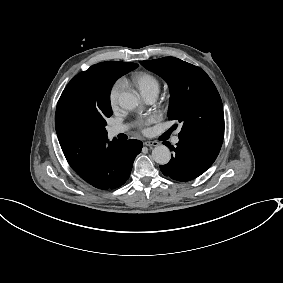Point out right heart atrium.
Listing matches in <instances>:
<instances>
[{
    "label": "right heart atrium",
    "mask_w": 283,
    "mask_h": 283,
    "mask_svg": "<svg viewBox=\"0 0 283 283\" xmlns=\"http://www.w3.org/2000/svg\"><path fill=\"white\" fill-rule=\"evenodd\" d=\"M123 91V84L120 81H114L108 89V103L112 109L119 104V97Z\"/></svg>",
    "instance_id": "d8ad5b80"
}]
</instances>
